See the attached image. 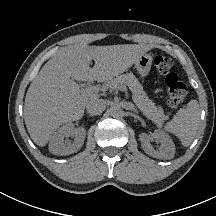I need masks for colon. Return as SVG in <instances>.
<instances>
[{
  "mask_svg": "<svg viewBox=\"0 0 216 216\" xmlns=\"http://www.w3.org/2000/svg\"><path fill=\"white\" fill-rule=\"evenodd\" d=\"M154 65L159 74L165 76V83L168 90V104L171 110L177 109L185 100L187 87L185 83L172 72L174 61L166 55H157Z\"/></svg>",
  "mask_w": 216,
  "mask_h": 216,
  "instance_id": "1",
  "label": "colon"
}]
</instances>
